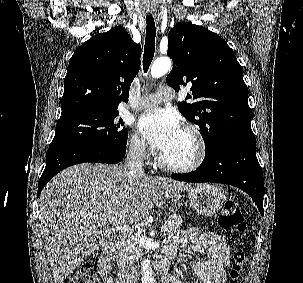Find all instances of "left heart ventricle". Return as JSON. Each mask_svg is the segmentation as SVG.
<instances>
[{"instance_id": "left-heart-ventricle-1", "label": "left heart ventricle", "mask_w": 303, "mask_h": 283, "mask_svg": "<svg viewBox=\"0 0 303 283\" xmlns=\"http://www.w3.org/2000/svg\"><path fill=\"white\" fill-rule=\"evenodd\" d=\"M162 154L168 163L176 165L186 164L194 157L195 144L192 138L181 130L179 136Z\"/></svg>"}]
</instances>
